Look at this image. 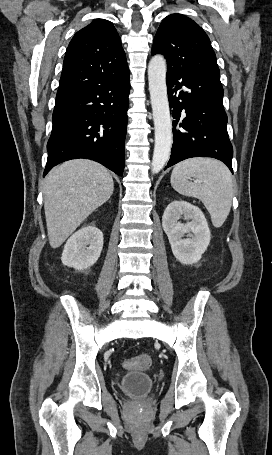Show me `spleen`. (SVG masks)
I'll use <instances>...</instances> for the list:
<instances>
[{
    "label": "spleen",
    "instance_id": "1",
    "mask_svg": "<svg viewBox=\"0 0 272 455\" xmlns=\"http://www.w3.org/2000/svg\"><path fill=\"white\" fill-rule=\"evenodd\" d=\"M170 181L178 193L201 200L210 213L212 224L222 226L233 197L232 176L223 163L210 158L187 159L174 167Z\"/></svg>",
    "mask_w": 272,
    "mask_h": 455
}]
</instances>
